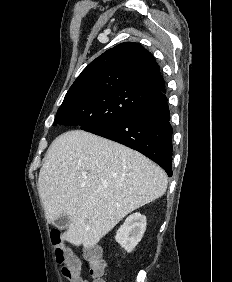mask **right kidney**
I'll return each mask as SVG.
<instances>
[{"label": "right kidney", "mask_w": 232, "mask_h": 282, "mask_svg": "<svg viewBox=\"0 0 232 282\" xmlns=\"http://www.w3.org/2000/svg\"><path fill=\"white\" fill-rule=\"evenodd\" d=\"M146 230V217L140 213H134L126 218L124 224L116 234V241L127 252L134 250L141 241Z\"/></svg>", "instance_id": "obj_1"}]
</instances>
